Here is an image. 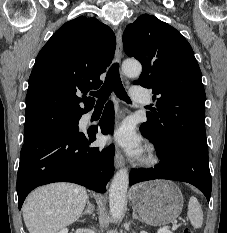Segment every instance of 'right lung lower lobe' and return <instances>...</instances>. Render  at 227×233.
<instances>
[{
  "label": "right lung lower lobe",
  "mask_w": 227,
  "mask_h": 233,
  "mask_svg": "<svg viewBox=\"0 0 227 233\" xmlns=\"http://www.w3.org/2000/svg\"><path fill=\"white\" fill-rule=\"evenodd\" d=\"M114 111L109 102L100 120L103 134L113 131ZM97 127L87 132L72 129L52 131L25 141L17 174L18 206L36 187L53 182H73L104 193L114 172V145L90 147Z\"/></svg>",
  "instance_id": "right-lung-lower-lobe-1"
}]
</instances>
